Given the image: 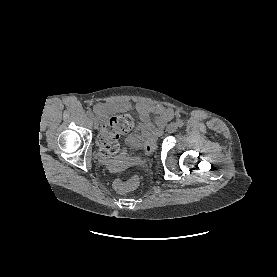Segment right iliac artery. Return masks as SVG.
I'll return each mask as SVG.
<instances>
[{
	"label": "right iliac artery",
	"instance_id": "82829eb1",
	"mask_svg": "<svg viewBox=\"0 0 277 277\" xmlns=\"http://www.w3.org/2000/svg\"><path fill=\"white\" fill-rule=\"evenodd\" d=\"M87 116H88L89 118H92V119H93V117H94L92 111H87Z\"/></svg>",
	"mask_w": 277,
	"mask_h": 277
}]
</instances>
